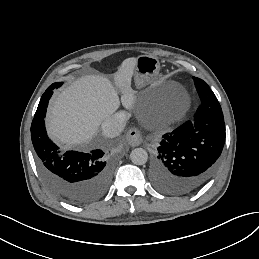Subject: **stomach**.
Segmentation results:
<instances>
[{
    "instance_id": "obj_1",
    "label": "stomach",
    "mask_w": 259,
    "mask_h": 259,
    "mask_svg": "<svg viewBox=\"0 0 259 259\" xmlns=\"http://www.w3.org/2000/svg\"><path fill=\"white\" fill-rule=\"evenodd\" d=\"M160 63L154 56L142 55L137 58L136 72L142 76H155L159 73Z\"/></svg>"
}]
</instances>
